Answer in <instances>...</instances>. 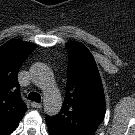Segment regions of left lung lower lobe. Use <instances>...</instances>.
Wrapping results in <instances>:
<instances>
[{"instance_id": "1", "label": "left lung lower lobe", "mask_w": 135, "mask_h": 135, "mask_svg": "<svg viewBox=\"0 0 135 135\" xmlns=\"http://www.w3.org/2000/svg\"><path fill=\"white\" fill-rule=\"evenodd\" d=\"M50 132V135H54L51 131H49Z\"/></svg>"}]
</instances>
